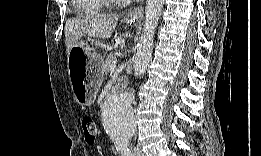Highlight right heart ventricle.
Returning a JSON list of instances; mask_svg holds the SVG:
<instances>
[{
  "instance_id": "1",
  "label": "right heart ventricle",
  "mask_w": 261,
  "mask_h": 156,
  "mask_svg": "<svg viewBox=\"0 0 261 156\" xmlns=\"http://www.w3.org/2000/svg\"><path fill=\"white\" fill-rule=\"evenodd\" d=\"M75 4L86 10H94L98 7L95 0H76Z\"/></svg>"
}]
</instances>
